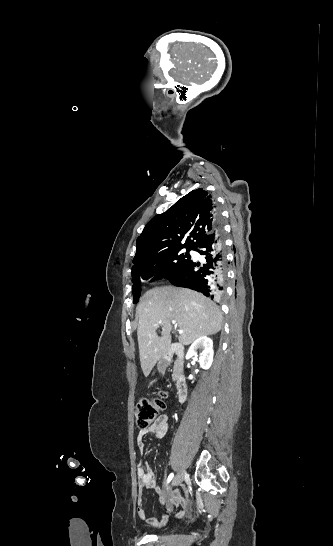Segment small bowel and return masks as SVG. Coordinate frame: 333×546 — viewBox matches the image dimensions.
I'll return each instance as SVG.
<instances>
[{"label": "small bowel", "instance_id": "c3829d8e", "mask_svg": "<svg viewBox=\"0 0 333 546\" xmlns=\"http://www.w3.org/2000/svg\"><path fill=\"white\" fill-rule=\"evenodd\" d=\"M169 428V418L166 414L160 415L148 428L140 430L137 436V446L143 453L145 450V437L148 434H153L156 438L162 439L167 434ZM137 477L139 480V493L137 496V514L138 517L151 525L158 528L165 525L168 521V517L172 513H176L177 516L182 517L185 512L190 508V500L183 497L179 491H169L161 493L160 505L162 513L160 516H149L142 504L143 488L158 490L157 481L154 472L144 461L140 462L137 467Z\"/></svg>", "mask_w": 333, "mask_h": 546}]
</instances>
